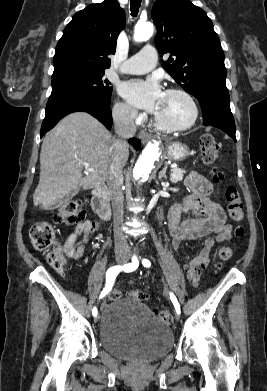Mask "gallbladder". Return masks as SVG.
I'll list each match as a JSON object with an SVG mask.
<instances>
[{
	"label": "gallbladder",
	"instance_id": "obj_1",
	"mask_svg": "<svg viewBox=\"0 0 267 391\" xmlns=\"http://www.w3.org/2000/svg\"><path fill=\"white\" fill-rule=\"evenodd\" d=\"M79 191H80V186H76V187L73 188L70 192H68V193L62 198V200L71 199V198H72L73 196H75Z\"/></svg>",
	"mask_w": 267,
	"mask_h": 391
}]
</instances>
